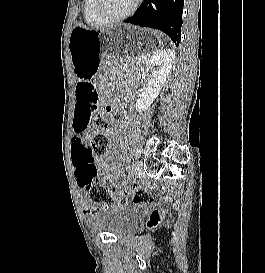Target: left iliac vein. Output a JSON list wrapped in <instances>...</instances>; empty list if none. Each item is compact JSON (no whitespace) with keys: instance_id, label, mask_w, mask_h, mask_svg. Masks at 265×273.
Instances as JSON below:
<instances>
[{"instance_id":"obj_1","label":"left iliac vein","mask_w":265,"mask_h":273,"mask_svg":"<svg viewBox=\"0 0 265 273\" xmlns=\"http://www.w3.org/2000/svg\"><path fill=\"white\" fill-rule=\"evenodd\" d=\"M141 149V147H139ZM142 150V149H141ZM135 175L137 177H140L142 172H143V165H142V162L141 161H138L136 164H135Z\"/></svg>"}]
</instances>
